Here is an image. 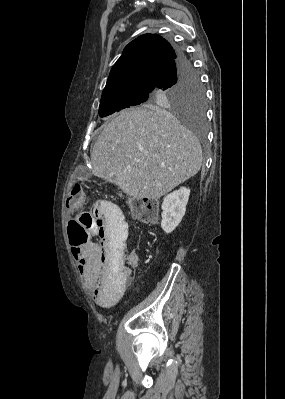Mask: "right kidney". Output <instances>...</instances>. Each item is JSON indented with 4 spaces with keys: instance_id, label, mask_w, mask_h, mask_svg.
<instances>
[{
    "instance_id": "ca27d5eb",
    "label": "right kidney",
    "mask_w": 285,
    "mask_h": 399,
    "mask_svg": "<svg viewBox=\"0 0 285 399\" xmlns=\"http://www.w3.org/2000/svg\"><path fill=\"white\" fill-rule=\"evenodd\" d=\"M190 189L181 187L168 194L162 203L161 227L166 234L171 233L181 222L185 215Z\"/></svg>"
}]
</instances>
